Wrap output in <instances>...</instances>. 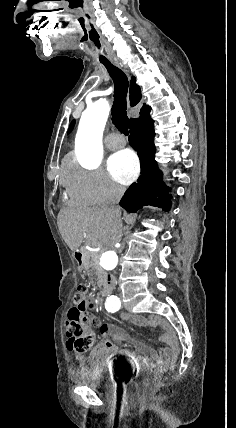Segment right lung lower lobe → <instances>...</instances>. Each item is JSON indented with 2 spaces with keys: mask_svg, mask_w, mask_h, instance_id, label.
Segmentation results:
<instances>
[{
  "mask_svg": "<svg viewBox=\"0 0 236 428\" xmlns=\"http://www.w3.org/2000/svg\"><path fill=\"white\" fill-rule=\"evenodd\" d=\"M154 121L147 114L130 126V145L138 152L141 161V176L125 192L120 206L128 212H136L143 206H153L169 211L170 190L162 181V172L154 159Z\"/></svg>",
  "mask_w": 236,
  "mask_h": 428,
  "instance_id": "obj_1",
  "label": "right lung lower lobe"
}]
</instances>
